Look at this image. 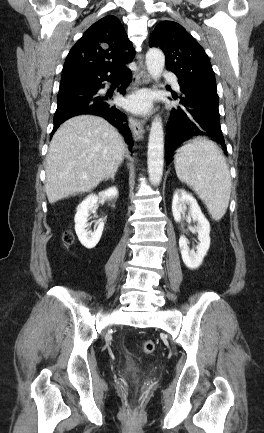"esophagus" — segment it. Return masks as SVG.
Returning a JSON list of instances; mask_svg holds the SVG:
<instances>
[{
  "mask_svg": "<svg viewBox=\"0 0 264 433\" xmlns=\"http://www.w3.org/2000/svg\"><path fill=\"white\" fill-rule=\"evenodd\" d=\"M137 64H138V70L133 75V86L134 87L146 85L150 81L148 72H147L146 67L144 65V62H143V56L141 54H137ZM129 124H130V128L133 132L134 137L138 140L142 139L144 132H145L143 122L139 119L129 117Z\"/></svg>",
  "mask_w": 264,
  "mask_h": 433,
  "instance_id": "esophagus-1",
  "label": "esophagus"
}]
</instances>
